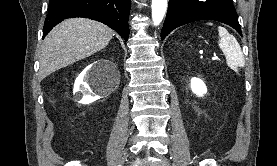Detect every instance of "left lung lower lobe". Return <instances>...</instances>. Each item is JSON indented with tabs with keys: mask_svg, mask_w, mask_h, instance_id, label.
Wrapping results in <instances>:
<instances>
[{
	"mask_svg": "<svg viewBox=\"0 0 277 166\" xmlns=\"http://www.w3.org/2000/svg\"><path fill=\"white\" fill-rule=\"evenodd\" d=\"M168 7L161 30L162 40L177 27L200 20L225 23L242 36L232 0H169Z\"/></svg>",
	"mask_w": 277,
	"mask_h": 166,
	"instance_id": "left-lung-lower-lobe-1",
	"label": "left lung lower lobe"
}]
</instances>
